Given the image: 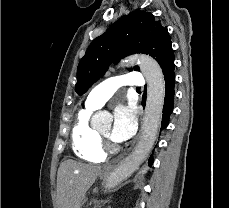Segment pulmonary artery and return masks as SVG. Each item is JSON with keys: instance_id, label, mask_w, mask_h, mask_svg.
Here are the masks:
<instances>
[{"instance_id": "pulmonary-artery-1", "label": "pulmonary artery", "mask_w": 229, "mask_h": 208, "mask_svg": "<svg viewBox=\"0 0 229 208\" xmlns=\"http://www.w3.org/2000/svg\"><path fill=\"white\" fill-rule=\"evenodd\" d=\"M141 72H130L118 76H112L103 80L99 85L94 87L87 100L86 105L91 109L101 108L115 93V91L124 86L141 87L144 86Z\"/></svg>"}]
</instances>
